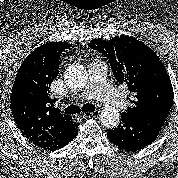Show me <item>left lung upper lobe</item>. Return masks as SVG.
<instances>
[{
    "label": "left lung upper lobe",
    "mask_w": 178,
    "mask_h": 178,
    "mask_svg": "<svg viewBox=\"0 0 178 178\" xmlns=\"http://www.w3.org/2000/svg\"><path fill=\"white\" fill-rule=\"evenodd\" d=\"M88 46L102 53L109 60L118 83L127 85L133 105L124 113L167 118L173 102V88L164 65L153 50L129 36L114 37L110 41L93 39Z\"/></svg>",
    "instance_id": "obj_1"
}]
</instances>
